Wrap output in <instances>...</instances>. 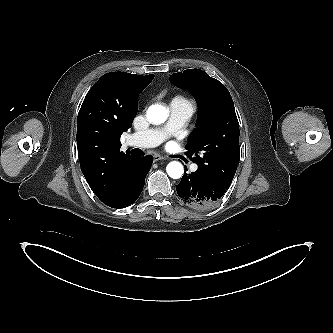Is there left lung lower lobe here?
I'll list each match as a JSON object with an SVG mask.
<instances>
[{"instance_id": "1", "label": "left lung lower lobe", "mask_w": 333, "mask_h": 333, "mask_svg": "<svg viewBox=\"0 0 333 333\" xmlns=\"http://www.w3.org/2000/svg\"><path fill=\"white\" fill-rule=\"evenodd\" d=\"M176 190L181 200L188 206L196 210H207L221 199L227 188L197 169L191 174H184Z\"/></svg>"}]
</instances>
